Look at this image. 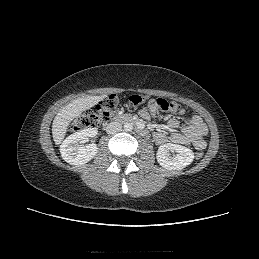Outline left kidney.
I'll list each match as a JSON object with an SVG mask.
<instances>
[{
	"label": "left kidney",
	"instance_id": "5707ae66",
	"mask_svg": "<svg viewBox=\"0 0 259 259\" xmlns=\"http://www.w3.org/2000/svg\"><path fill=\"white\" fill-rule=\"evenodd\" d=\"M170 152H175L173 156ZM158 163L167 170H181L190 165L194 159V153L189 148L178 144H162L157 151Z\"/></svg>",
	"mask_w": 259,
	"mask_h": 259
}]
</instances>
